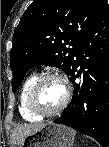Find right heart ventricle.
<instances>
[{"mask_svg":"<svg viewBox=\"0 0 109 147\" xmlns=\"http://www.w3.org/2000/svg\"><path fill=\"white\" fill-rule=\"evenodd\" d=\"M38 79V76L36 74L30 75L24 82L21 93H20V100H19V111L21 116L29 122H37L41 119V117H38L34 114H32L28 108H27V97L28 94L33 86V84Z\"/></svg>","mask_w":109,"mask_h":147,"instance_id":"obj_1","label":"right heart ventricle"}]
</instances>
